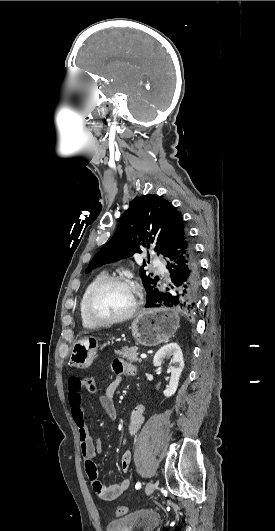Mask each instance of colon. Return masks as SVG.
<instances>
[{
    "mask_svg": "<svg viewBox=\"0 0 275 531\" xmlns=\"http://www.w3.org/2000/svg\"><path fill=\"white\" fill-rule=\"evenodd\" d=\"M81 390L94 395L98 390V383L93 377H85V381L81 383ZM126 510L125 506H119L116 509V515L121 517L126 513Z\"/></svg>",
    "mask_w": 275,
    "mask_h": 531,
    "instance_id": "obj_1",
    "label": "colon"
}]
</instances>
